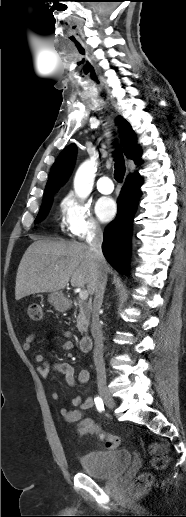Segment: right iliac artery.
<instances>
[{
	"mask_svg": "<svg viewBox=\"0 0 186 517\" xmlns=\"http://www.w3.org/2000/svg\"><path fill=\"white\" fill-rule=\"evenodd\" d=\"M94 401H95V405H96L97 410L99 412H103L104 411V404H103L102 399L99 396H97V397H95Z\"/></svg>",
	"mask_w": 186,
	"mask_h": 517,
	"instance_id": "right-iliac-artery-1",
	"label": "right iliac artery"
}]
</instances>
